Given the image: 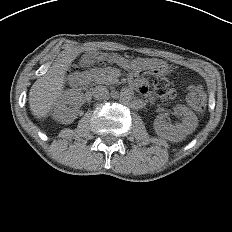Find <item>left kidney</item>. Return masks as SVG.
<instances>
[{
	"label": "left kidney",
	"instance_id": "5707ae66",
	"mask_svg": "<svg viewBox=\"0 0 232 232\" xmlns=\"http://www.w3.org/2000/svg\"><path fill=\"white\" fill-rule=\"evenodd\" d=\"M176 110L182 115L181 123L172 125L164 114L158 115L154 120V130L159 136L168 140H181L197 127L198 118L192 110L182 104L176 105Z\"/></svg>",
	"mask_w": 232,
	"mask_h": 232
}]
</instances>
